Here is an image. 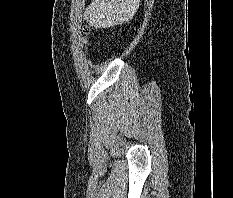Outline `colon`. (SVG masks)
Listing matches in <instances>:
<instances>
[{"instance_id":"colon-1","label":"colon","mask_w":233,"mask_h":198,"mask_svg":"<svg viewBox=\"0 0 233 198\" xmlns=\"http://www.w3.org/2000/svg\"><path fill=\"white\" fill-rule=\"evenodd\" d=\"M83 31H84V33H87V32H88V28H87V27H84V28H83Z\"/></svg>"}]
</instances>
